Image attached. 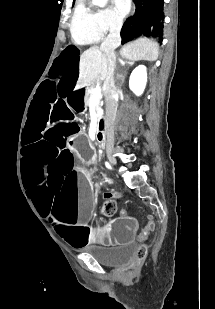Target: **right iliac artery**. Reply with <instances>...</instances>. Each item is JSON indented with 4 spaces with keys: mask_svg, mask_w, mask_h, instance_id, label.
<instances>
[{
    "mask_svg": "<svg viewBox=\"0 0 215 309\" xmlns=\"http://www.w3.org/2000/svg\"><path fill=\"white\" fill-rule=\"evenodd\" d=\"M105 166L108 168V169H111V166L108 162H105Z\"/></svg>",
    "mask_w": 215,
    "mask_h": 309,
    "instance_id": "obj_1",
    "label": "right iliac artery"
}]
</instances>
